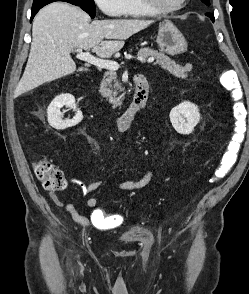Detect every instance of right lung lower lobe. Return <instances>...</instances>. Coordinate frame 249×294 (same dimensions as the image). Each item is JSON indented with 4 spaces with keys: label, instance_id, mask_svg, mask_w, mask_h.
<instances>
[{
    "label": "right lung lower lobe",
    "instance_id": "obj_1",
    "mask_svg": "<svg viewBox=\"0 0 249 294\" xmlns=\"http://www.w3.org/2000/svg\"><path fill=\"white\" fill-rule=\"evenodd\" d=\"M40 8H42V7L32 8L31 21H32L33 17L35 16V14L39 11Z\"/></svg>",
    "mask_w": 249,
    "mask_h": 294
}]
</instances>
